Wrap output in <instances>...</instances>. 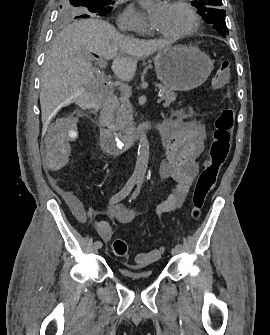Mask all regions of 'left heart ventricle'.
<instances>
[{
    "label": "left heart ventricle",
    "instance_id": "1",
    "mask_svg": "<svg viewBox=\"0 0 270 335\" xmlns=\"http://www.w3.org/2000/svg\"><path fill=\"white\" fill-rule=\"evenodd\" d=\"M190 16L181 9L173 8L169 18L167 32L170 34H177L187 30L191 26Z\"/></svg>",
    "mask_w": 270,
    "mask_h": 335
}]
</instances>
